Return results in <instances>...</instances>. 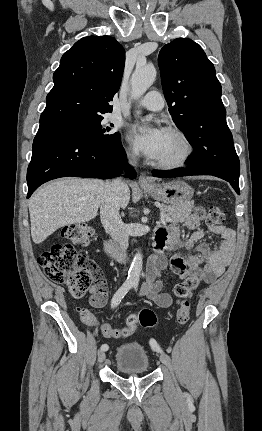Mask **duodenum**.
I'll return each instance as SVG.
<instances>
[{
	"label": "duodenum",
	"instance_id": "410a0bca",
	"mask_svg": "<svg viewBox=\"0 0 262 431\" xmlns=\"http://www.w3.org/2000/svg\"><path fill=\"white\" fill-rule=\"evenodd\" d=\"M156 242H159L158 237H156ZM105 253L117 260L118 262H126L128 257L120 250L117 243L112 240H107L104 244Z\"/></svg>",
	"mask_w": 262,
	"mask_h": 431
}]
</instances>
